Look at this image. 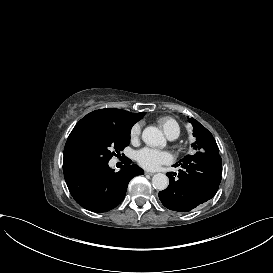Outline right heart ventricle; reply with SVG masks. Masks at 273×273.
<instances>
[{
	"instance_id": "1",
	"label": "right heart ventricle",
	"mask_w": 273,
	"mask_h": 273,
	"mask_svg": "<svg viewBox=\"0 0 273 273\" xmlns=\"http://www.w3.org/2000/svg\"><path fill=\"white\" fill-rule=\"evenodd\" d=\"M157 124L168 138L176 139L181 134L180 122L172 116H162L157 119Z\"/></svg>"
}]
</instances>
